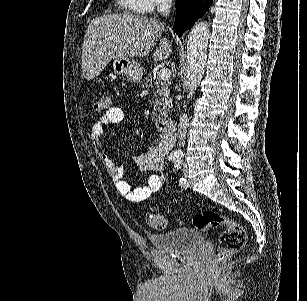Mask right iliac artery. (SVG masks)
Instances as JSON below:
<instances>
[{"mask_svg": "<svg viewBox=\"0 0 307 301\" xmlns=\"http://www.w3.org/2000/svg\"><path fill=\"white\" fill-rule=\"evenodd\" d=\"M178 159V156L176 154H170L169 160L176 161Z\"/></svg>", "mask_w": 307, "mask_h": 301, "instance_id": "obj_1", "label": "right iliac artery"}]
</instances>
